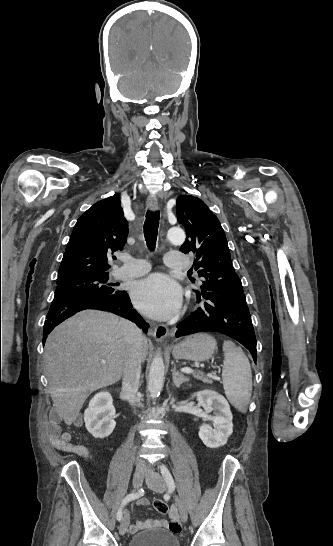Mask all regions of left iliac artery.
<instances>
[{
	"label": "left iliac artery",
	"mask_w": 333,
	"mask_h": 546,
	"mask_svg": "<svg viewBox=\"0 0 333 546\" xmlns=\"http://www.w3.org/2000/svg\"><path fill=\"white\" fill-rule=\"evenodd\" d=\"M160 469H161V473H162V475L164 477V480L166 481L169 489L174 490L175 489V482L173 480V477H172L169 469L165 465H161Z\"/></svg>",
	"instance_id": "44dca946"
}]
</instances>
